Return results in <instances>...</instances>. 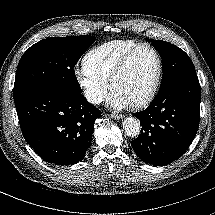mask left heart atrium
Here are the masks:
<instances>
[{
  "instance_id": "left-heart-atrium-1",
  "label": "left heart atrium",
  "mask_w": 215,
  "mask_h": 215,
  "mask_svg": "<svg viewBox=\"0 0 215 215\" xmlns=\"http://www.w3.org/2000/svg\"><path fill=\"white\" fill-rule=\"evenodd\" d=\"M111 104L116 108H124L128 105L127 101L118 94L112 93L110 97Z\"/></svg>"
}]
</instances>
